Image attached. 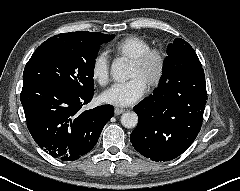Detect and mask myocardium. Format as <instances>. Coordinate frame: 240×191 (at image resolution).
<instances>
[{
	"label": "myocardium",
	"instance_id": "1",
	"mask_svg": "<svg viewBox=\"0 0 240 191\" xmlns=\"http://www.w3.org/2000/svg\"><path fill=\"white\" fill-rule=\"evenodd\" d=\"M152 61L156 62V72L154 76L146 82L148 89L156 88L164 78L166 71V56L164 52L157 48H150L131 60V63L139 69L145 68Z\"/></svg>",
	"mask_w": 240,
	"mask_h": 191
}]
</instances>
